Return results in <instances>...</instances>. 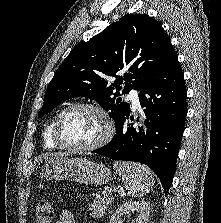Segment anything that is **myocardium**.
Masks as SVG:
<instances>
[{
	"label": "myocardium",
	"mask_w": 221,
	"mask_h": 223,
	"mask_svg": "<svg viewBox=\"0 0 221 223\" xmlns=\"http://www.w3.org/2000/svg\"><path fill=\"white\" fill-rule=\"evenodd\" d=\"M76 109H88L98 113L105 121L106 130L104 134L94 143L87 146H75L65 143L60 136V125L67 113ZM115 125L107 111L92 103H75L65 107L57 116L53 127L52 137L57 145L65 150L75 152H91L105 146L114 136Z\"/></svg>",
	"instance_id": "obj_1"
}]
</instances>
